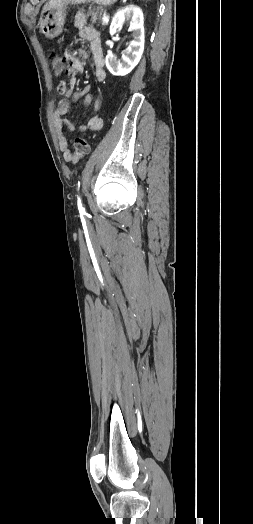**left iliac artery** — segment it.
I'll use <instances>...</instances> for the list:
<instances>
[{"label":"left iliac artery","mask_w":253,"mask_h":524,"mask_svg":"<svg viewBox=\"0 0 253 524\" xmlns=\"http://www.w3.org/2000/svg\"><path fill=\"white\" fill-rule=\"evenodd\" d=\"M77 204H78V209H79L80 214L81 215L85 214V209L82 206L80 197H78Z\"/></svg>","instance_id":"left-iliac-artery-1"}]
</instances>
